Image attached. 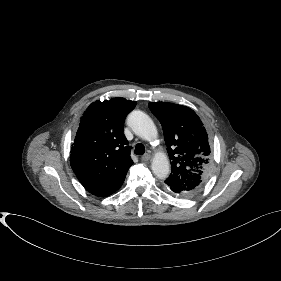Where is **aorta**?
<instances>
[{
    "instance_id": "762f6f07",
    "label": "aorta",
    "mask_w": 281,
    "mask_h": 281,
    "mask_svg": "<svg viewBox=\"0 0 281 281\" xmlns=\"http://www.w3.org/2000/svg\"><path fill=\"white\" fill-rule=\"evenodd\" d=\"M128 125L133 132L146 141H153L157 138V129L152 119L144 112L132 111L127 118ZM153 173L160 179L168 177L170 165L164 153L154 156L151 165Z\"/></svg>"
}]
</instances>
